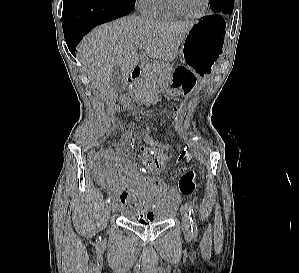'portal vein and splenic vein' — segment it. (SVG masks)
I'll return each mask as SVG.
<instances>
[{"label":"portal vein and splenic vein","mask_w":299,"mask_h":273,"mask_svg":"<svg viewBox=\"0 0 299 273\" xmlns=\"http://www.w3.org/2000/svg\"><path fill=\"white\" fill-rule=\"evenodd\" d=\"M137 47L142 48V46L140 44H137Z\"/></svg>","instance_id":"portal-vein-and-splenic-vein-1"}]
</instances>
